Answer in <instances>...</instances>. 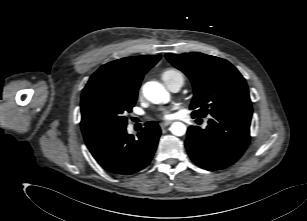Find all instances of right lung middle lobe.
Here are the masks:
<instances>
[{
    "label": "right lung middle lobe",
    "instance_id": "dd1d6c3e",
    "mask_svg": "<svg viewBox=\"0 0 307 221\" xmlns=\"http://www.w3.org/2000/svg\"><path fill=\"white\" fill-rule=\"evenodd\" d=\"M137 94L108 87H90L81 98V129L87 146L126 128V112H131Z\"/></svg>",
    "mask_w": 307,
    "mask_h": 221
}]
</instances>
